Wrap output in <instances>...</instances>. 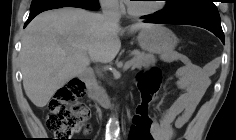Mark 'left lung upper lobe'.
Masks as SVG:
<instances>
[{
    "instance_id": "left-lung-upper-lobe-1",
    "label": "left lung upper lobe",
    "mask_w": 236,
    "mask_h": 140,
    "mask_svg": "<svg viewBox=\"0 0 236 140\" xmlns=\"http://www.w3.org/2000/svg\"><path fill=\"white\" fill-rule=\"evenodd\" d=\"M156 14L167 18H196L220 22L213 0H168L165 9Z\"/></svg>"
}]
</instances>
